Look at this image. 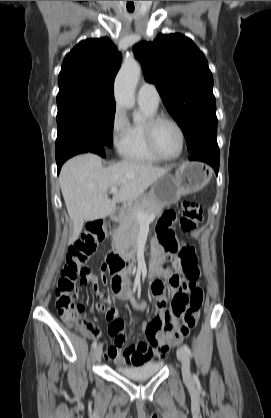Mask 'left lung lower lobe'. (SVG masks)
Returning <instances> with one entry per match:
<instances>
[{"instance_id": "1", "label": "left lung lower lobe", "mask_w": 271, "mask_h": 418, "mask_svg": "<svg viewBox=\"0 0 271 418\" xmlns=\"http://www.w3.org/2000/svg\"><path fill=\"white\" fill-rule=\"evenodd\" d=\"M189 160L203 161L213 167L216 174L219 170V148L217 143L205 145L193 152L189 156Z\"/></svg>"}]
</instances>
